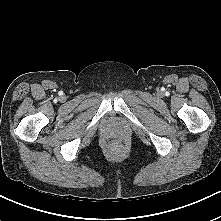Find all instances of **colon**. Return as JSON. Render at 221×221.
Instances as JSON below:
<instances>
[{
	"instance_id": "colon-1",
	"label": "colon",
	"mask_w": 221,
	"mask_h": 221,
	"mask_svg": "<svg viewBox=\"0 0 221 221\" xmlns=\"http://www.w3.org/2000/svg\"><path fill=\"white\" fill-rule=\"evenodd\" d=\"M114 149H119L118 147H114Z\"/></svg>"
}]
</instances>
